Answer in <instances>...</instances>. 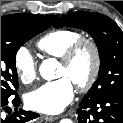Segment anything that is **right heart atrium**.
Here are the masks:
<instances>
[{
	"instance_id": "right-heart-atrium-1",
	"label": "right heart atrium",
	"mask_w": 123,
	"mask_h": 123,
	"mask_svg": "<svg viewBox=\"0 0 123 123\" xmlns=\"http://www.w3.org/2000/svg\"><path fill=\"white\" fill-rule=\"evenodd\" d=\"M14 68L20 81L24 84L32 83L36 78L37 62L26 47H20L13 59Z\"/></svg>"
}]
</instances>
